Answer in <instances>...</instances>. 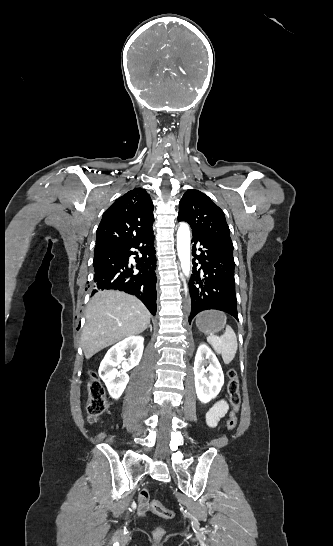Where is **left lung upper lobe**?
I'll return each instance as SVG.
<instances>
[{
  "label": "left lung upper lobe",
  "instance_id": "obj_1",
  "mask_svg": "<svg viewBox=\"0 0 333 546\" xmlns=\"http://www.w3.org/2000/svg\"><path fill=\"white\" fill-rule=\"evenodd\" d=\"M178 221L189 223L192 230L217 237L232 245L223 211L204 193L188 190L179 203ZM224 267L223 263L219 264Z\"/></svg>",
  "mask_w": 333,
  "mask_h": 546
}]
</instances>
